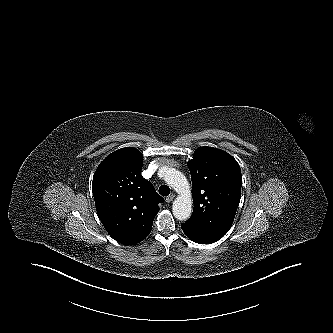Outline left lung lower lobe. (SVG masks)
I'll list each match as a JSON object with an SVG mask.
<instances>
[{
  "label": "left lung lower lobe",
  "mask_w": 333,
  "mask_h": 333,
  "mask_svg": "<svg viewBox=\"0 0 333 333\" xmlns=\"http://www.w3.org/2000/svg\"><path fill=\"white\" fill-rule=\"evenodd\" d=\"M181 227H182L183 232L186 234V236L196 243L210 244V243H214L221 239V237H218L214 234L200 230L187 223H183L181 225Z\"/></svg>",
  "instance_id": "obj_1"
}]
</instances>
